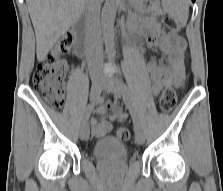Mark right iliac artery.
I'll use <instances>...</instances> for the list:
<instances>
[{
    "label": "right iliac artery",
    "instance_id": "obj_1",
    "mask_svg": "<svg viewBox=\"0 0 223 191\" xmlns=\"http://www.w3.org/2000/svg\"><path fill=\"white\" fill-rule=\"evenodd\" d=\"M97 99L96 100H93L92 102H90L86 109H85V112H84V117H83V120H82V124L85 122V116L86 115H89L91 113V111L94 109V107L97 105Z\"/></svg>",
    "mask_w": 223,
    "mask_h": 191
}]
</instances>
